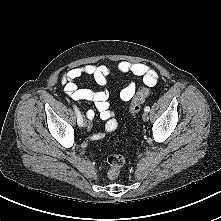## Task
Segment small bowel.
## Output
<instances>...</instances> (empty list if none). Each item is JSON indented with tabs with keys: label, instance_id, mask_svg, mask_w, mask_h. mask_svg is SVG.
Instances as JSON below:
<instances>
[{
	"label": "small bowel",
	"instance_id": "c3829d8e",
	"mask_svg": "<svg viewBox=\"0 0 221 221\" xmlns=\"http://www.w3.org/2000/svg\"><path fill=\"white\" fill-rule=\"evenodd\" d=\"M131 73L142 78L143 83L147 86H153L157 82L158 75L155 70L151 69L144 63L120 61L113 70L104 65L97 63H89L83 66H77L67 70L61 77V85L65 93L74 100H85L93 102L96 110L99 112L100 118L105 121L104 131L94 133L92 139L101 140L107 133L113 132L117 128V121L114 118V111L108 102V92L105 89L94 90L81 88L77 81L83 75H91L98 85L105 86L109 78L113 75ZM135 82L128 83L120 91V99L124 102L129 101L135 94ZM95 116L94 110H88L86 117L88 121L93 120ZM90 128V123L86 125Z\"/></svg>",
	"mask_w": 221,
	"mask_h": 221
}]
</instances>
